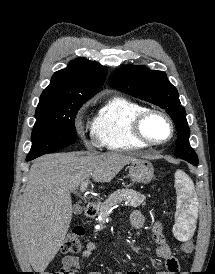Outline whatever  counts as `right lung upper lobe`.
Wrapping results in <instances>:
<instances>
[{
    "mask_svg": "<svg viewBox=\"0 0 215 274\" xmlns=\"http://www.w3.org/2000/svg\"><path fill=\"white\" fill-rule=\"evenodd\" d=\"M107 68L85 58H76L66 69L54 73L39 104L67 102L84 104L95 95L105 80Z\"/></svg>",
    "mask_w": 215,
    "mask_h": 274,
    "instance_id": "1",
    "label": "right lung upper lobe"
}]
</instances>
